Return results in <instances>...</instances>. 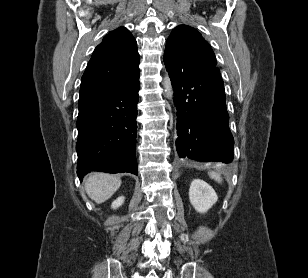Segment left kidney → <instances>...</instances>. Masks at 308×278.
Instances as JSON below:
<instances>
[{
    "label": "left kidney",
    "instance_id": "1",
    "mask_svg": "<svg viewBox=\"0 0 308 278\" xmlns=\"http://www.w3.org/2000/svg\"><path fill=\"white\" fill-rule=\"evenodd\" d=\"M189 199L192 206L199 213L207 212L218 200L214 189L201 179L191 182Z\"/></svg>",
    "mask_w": 308,
    "mask_h": 278
}]
</instances>
